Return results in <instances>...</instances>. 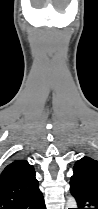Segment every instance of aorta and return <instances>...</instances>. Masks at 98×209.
Listing matches in <instances>:
<instances>
[{"mask_svg":"<svg viewBox=\"0 0 98 209\" xmlns=\"http://www.w3.org/2000/svg\"><path fill=\"white\" fill-rule=\"evenodd\" d=\"M77 207V203L74 199V197L70 196L67 199V203H66V208H76Z\"/></svg>","mask_w":98,"mask_h":209,"instance_id":"obj_1","label":"aorta"}]
</instances>
